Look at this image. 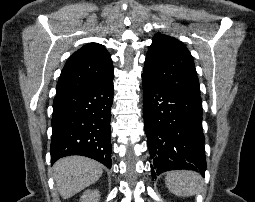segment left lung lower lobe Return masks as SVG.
I'll return each instance as SVG.
<instances>
[{"label":"left lung lower lobe","instance_id":"left-lung-lower-lobe-1","mask_svg":"<svg viewBox=\"0 0 255 202\" xmlns=\"http://www.w3.org/2000/svg\"><path fill=\"white\" fill-rule=\"evenodd\" d=\"M142 85L152 178L175 169L194 170L204 176L201 97L164 88L143 75Z\"/></svg>","mask_w":255,"mask_h":202}]
</instances>
